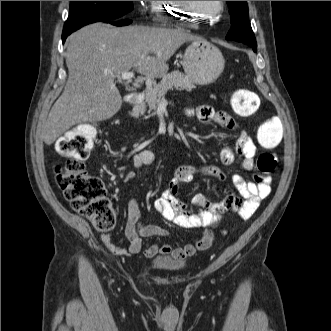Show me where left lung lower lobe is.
I'll return each instance as SVG.
<instances>
[{"label":"left lung lower lobe","instance_id":"obj_1","mask_svg":"<svg viewBox=\"0 0 331 331\" xmlns=\"http://www.w3.org/2000/svg\"><path fill=\"white\" fill-rule=\"evenodd\" d=\"M254 51H256V47H257V44L256 45H250Z\"/></svg>","mask_w":331,"mask_h":331}]
</instances>
